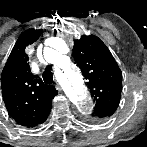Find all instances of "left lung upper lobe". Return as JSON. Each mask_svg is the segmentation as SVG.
<instances>
[{
  "mask_svg": "<svg viewBox=\"0 0 147 147\" xmlns=\"http://www.w3.org/2000/svg\"><path fill=\"white\" fill-rule=\"evenodd\" d=\"M73 56L88 80L94 108L91 116L100 119L112 115L120 102L122 72L106 45L96 36L74 40Z\"/></svg>",
  "mask_w": 147,
  "mask_h": 147,
  "instance_id": "obj_1",
  "label": "left lung upper lobe"
}]
</instances>
